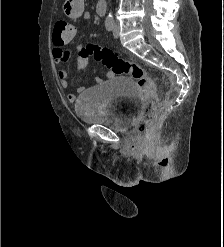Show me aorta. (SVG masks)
Returning <instances> with one entry per match:
<instances>
[{
    "instance_id": "762f6f07",
    "label": "aorta",
    "mask_w": 224,
    "mask_h": 247,
    "mask_svg": "<svg viewBox=\"0 0 224 247\" xmlns=\"http://www.w3.org/2000/svg\"><path fill=\"white\" fill-rule=\"evenodd\" d=\"M107 18H113L111 12H110V14H108Z\"/></svg>"
}]
</instances>
